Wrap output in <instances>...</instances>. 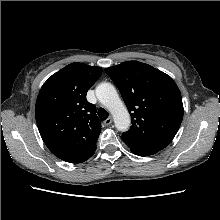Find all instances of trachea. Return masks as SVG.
Wrapping results in <instances>:
<instances>
[{
    "mask_svg": "<svg viewBox=\"0 0 220 220\" xmlns=\"http://www.w3.org/2000/svg\"><path fill=\"white\" fill-rule=\"evenodd\" d=\"M98 116L100 119L105 120L109 116L108 112L104 108H99Z\"/></svg>",
    "mask_w": 220,
    "mask_h": 220,
    "instance_id": "obj_1",
    "label": "trachea"
}]
</instances>
